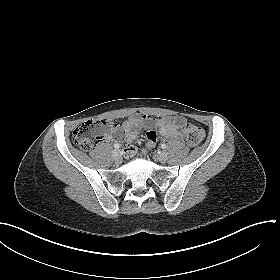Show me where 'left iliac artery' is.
Returning a JSON list of instances; mask_svg holds the SVG:
<instances>
[{
	"label": "left iliac artery",
	"mask_w": 280,
	"mask_h": 280,
	"mask_svg": "<svg viewBox=\"0 0 280 280\" xmlns=\"http://www.w3.org/2000/svg\"><path fill=\"white\" fill-rule=\"evenodd\" d=\"M166 147H167L166 144H161L162 149H165Z\"/></svg>",
	"instance_id": "1"
}]
</instances>
